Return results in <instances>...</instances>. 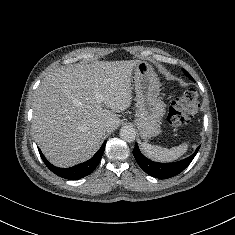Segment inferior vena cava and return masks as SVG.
I'll use <instances>...</instances> for the list:
<instances>
[{"label":"inferior vena cava","mask_w":235,"mask_h":235,"mask_svg":"<svg viewBox=\"0 0 235 235\" xmlns=\"http://www.w3.org/2000/svg\"><path fill=\"white\" fill-rule=\"evenodd\" d=\"M102 129H106V125H103V126H102Z\"/></svg>","instance_id":"1"}]
</instances>
